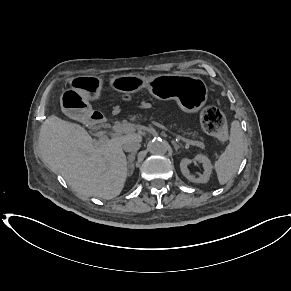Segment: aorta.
Masks as SVG:
<instances>
[{
    "label": "aorta",
    "mask_w": 291,
    "mask_h": 291,
    "mask_svg": "<svg viewBox=\"0 0 291 291\" xmlns=\"http://www.w3.org/2000/svg\"><path fill=\"white\" fill-rule=\"evenodd\" d=\"M148 149L152 154L164 155L168 150V145L162 140H153L149 143Z\"/></svg>",
    "instance_id": "aorta-1"
}]
</instances>
